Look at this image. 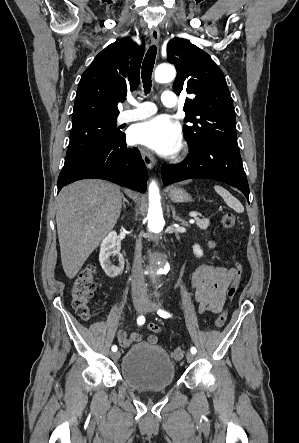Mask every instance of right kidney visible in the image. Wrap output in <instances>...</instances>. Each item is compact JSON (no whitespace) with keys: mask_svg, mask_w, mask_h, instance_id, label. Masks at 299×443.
Listing matches in <instances>:
<instances>
[{"mask_svg":"<svg viewBox=\"0 0 299 443\" xmlns=\"http://www.w3.org/2000/svg\"><path fill=\"white\" fill-rule=\"evenodd\" d=\"M117 233L115 231L109 232V234L103 239L100 246L99 261L105 274L111 278L120 275L124 269V258L120 251L115 248ZM118 255L119 265L112 264L110 257Z\"/></svg>","mask_w":299,"mask_h":443,"instance_id":"right-kidney-1","label":"right kidney"}]
</instances>
